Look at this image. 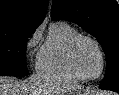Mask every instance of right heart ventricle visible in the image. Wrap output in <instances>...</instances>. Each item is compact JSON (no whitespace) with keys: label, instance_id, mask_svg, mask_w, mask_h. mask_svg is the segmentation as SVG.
<instances>
[{"label":"right heart ventricle","instance_id":"1","mask_svg":"<svg viewBox=\"0 0 119 95\" xmlns=\"http://www.w3.org/2000/svg\"><path fill=\"white\" fill-rule=\"evenodd\" d=\"M79 31L65 21H55L41 46L36 70L39 74L56 79L81 81L70 69L67 61L68 47Z\"/></svg>","mask_w":119,"mask_h":95}]
</instances>
